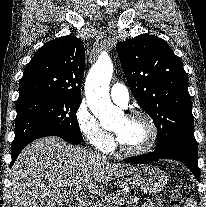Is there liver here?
<instances>
[{"mask_svg": "<svg viewBox=\"0 0 206 207\" xmlns=\"http://www.w3.org/2000/svg\"><path fill=\"white\" fill-rule=\"evenodd\" d=\"M135 169L59 137H43L26 146L11 169V202L13 207H62V193L78 186L102 197L108 181Z\"/></svg>", "mask_w": 206, "mask_h": 207, "instance_id": "6515ba94", "label": "liver"}]
</instances>
